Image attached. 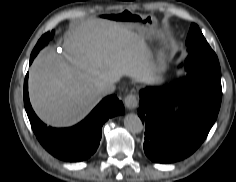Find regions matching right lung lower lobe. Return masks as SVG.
Masks as SVG:
<instances>
[{
  "mask_svg": "<svg viewBox=\"0 0 236 182\" xmlns=\"http://www.w3.org/2000/svg\"><path fill=\"white\" fill-rule=\"evenodd\" d=\"M36 54H31L30 64ZM24 105L32 129L41 145L53 156L68 162L88 159L99 146L101 128L109 118L124 114L115 95L104 98L79 124L64 129L47 127L34 113L28 96V77L24 82Z\"/></svg>",
  "mask_w": 236,
  "mask_h": 182,
  "instance_id": "98d812e1",
  "label": "right lung lower lobe"
}]
</instances>
